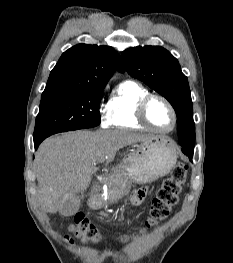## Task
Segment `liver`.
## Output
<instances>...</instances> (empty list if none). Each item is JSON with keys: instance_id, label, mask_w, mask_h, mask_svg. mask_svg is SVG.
<instances>
[{"instance_id": "6515ba94", "label": "liver", "mask_w": 233, "mask_h": 263, "mask_svg": "<svg viewBox=\"0 0 233 263\" xmlns=\"http://www.w3.org/2000/svg\"><path fill=\"white\" fill-rule=\"evenodd\" d=\"M129 130H80L47 138L35 156L38 199L42 208L56 213L78 199L89 187L96 163L114 160L123 147L150 139Z\"/></svg>"}]
</instances>
